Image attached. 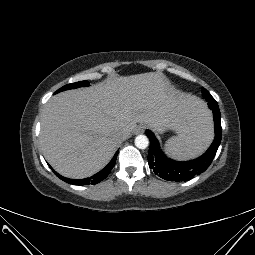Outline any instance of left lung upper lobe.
I'll use <instances>...</instances> for the list:
<instances>
[{"mask_svg":"<svg viewBox=\"0 0 255 255\" xmlns=\"http://www.w3.org/2000/svg\"><path fill=\"white\" fill-rule=\"evenodd\" d=\"M202 95L204 97H206V96L210 95V93L205 88H202Z\"/></svg>","mask_w":255,"mask_h":255,"instance_id":"obj_1","label":"left lung upper lobe"}]
</instances>
